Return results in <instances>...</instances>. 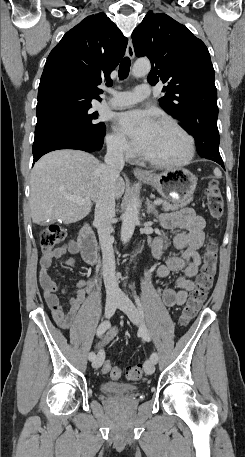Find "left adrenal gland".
Returning a JSON list of instances; mask_svg holds the SVG:
<instances>
[{"label": "left adrenal gland", "mask_w": 245, "mask_h": 457, "mask_svg": "<svg viewBox=\"0 0 245 457\" xmlns=\"http://www.w3.org/2000/svg\"><path fill=\"white\" fill-rule=\"evenodd\" d=\"M145 204H147L146 212H148V214H150V212H152V214H154L155 218H158L159 212H158V210H156L155 204H152V200H149V198H146Z\"/></svg>", "instance_id": "obj_1"}]
</instances>
